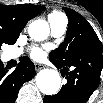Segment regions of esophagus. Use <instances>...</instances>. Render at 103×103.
I'll return each instance as SVG.
<instances>
[{
    "label": "esophagus",
    "mask_w": 103,
    "mask_h": 103,
    "mask_svg": "<svg viewBox=\"0 0 103 103\" xmlns=\"http://www.w3.org/2000/svg\"><path fill=\"white\" fill-rule=\"evenodd\" d=\"M34 66H35V70H36V71H39V70H41L42 68H44V66H43L42 64H39V63H35Z\"/></svg>",
    "instance_id": "esophagus-1"
}]
</instances>
